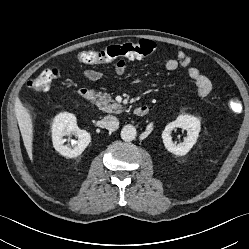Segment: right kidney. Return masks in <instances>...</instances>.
Segmentation results:
<instances>
[{"instance_id":"1","label":"right kidney","mask_w":249,"mask_h":249,"mask_svg":"<svg viewBox=\"0 0 249 249\" xmlns=\"http://www.w3.org/2000/svg\"><path fill=\"white\" fill-rule=\"evenodd\" d=\"M52 141L53 146L61 155L69 158L77 157L85 150L91 141L90 134L77 127L76 117L71 113H60L57 115L52 124ZM75 135L78 137L77 146L71 148L64 145V136Z\"/></svg>"}]
</instances>
